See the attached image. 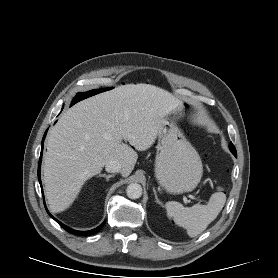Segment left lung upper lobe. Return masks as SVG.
Wrapping results in <instances>:
<instances>
[{"label": "left lung upper lobe", "instance_id": "left-lung-upper-lobe-1", "mask_svg": "<svg viewBox=\"0 0 278 278\" xmlns=\"http://www.w3.org/2000/svg\"><path fill=\"white\" fill-rule=\"evenodd\" d=\"M229 148H230L231 152L236 156V154H237L236 149L232 143H230Z\"/></svg>", "mask_w": 278, "mask_h": 278}]
</instances>
